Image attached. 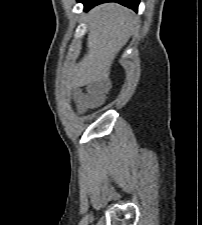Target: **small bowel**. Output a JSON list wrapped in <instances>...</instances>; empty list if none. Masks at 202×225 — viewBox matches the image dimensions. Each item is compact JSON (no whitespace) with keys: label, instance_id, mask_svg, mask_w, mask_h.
I'll list each match as a JSON object with an SVG mask.
<instances>
[{"label":"small bowel","instance_id":"small-bowel-1","mask_svg":"<svg viewBox=\"0 0 202 225\" xmlns=\"http://www.w3.org/2000/svg\"><path fill=\"white\" fill-rule=\"evenodd\" d=\"M110 84H111V82L109 80H105L102 83L92 84V85L86 87L85 89L77 92L76 95H75V99L81 105L88 106L90 104V102H91V97H92L91 88L92 87H97L99 85H106V86H108Z\"/></svg>","mask_w":202,"mask_h":225}]
</instances>
